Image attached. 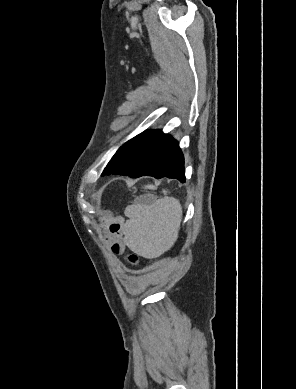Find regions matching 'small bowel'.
Masks as SVG:
<instances>
[{
    "label": "small bowel",
    "mask_w": 296,
    "mask_h": 389,
    "mask_svg": "<svg viewBox=\"0 0 296 389\" xmlns=\"http://www.w3.org/2000/svg\"><path fill=\"white\" fill-rule=\"evenodd\" d=\"M102 232L104 242L110 247L114 254H121L125 250V241L123 239V223L121 216H114L106 211L102 214Z\"/></svg>",
    "instance_id": "obj_1"
}]
</instances>
